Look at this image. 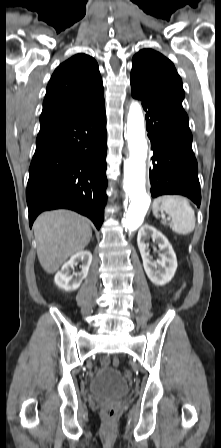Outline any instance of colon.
<instances>
[{"instance_id":"5ec220e1","label":"colon","mask_w":221,"mask_h":448,"mask_svg":"<svg viewBox=\"0 0 221 448\" xmlns=\"http://www.w3.org/2000/svg\"><path fill=\"white\" fill-rule=\"evenodd\" d=\"M182 290H183V286L176 290L175 295H174L176 299L180 297ZM101 363L103 366H108V365L112 364L113 366L118 367L120 362L118 359H114V360L110 361L108 358H105L102 360ZM124 376L126 378H130L131 372L129 370H125ZM102 414H103L104 419L111 421L117 417V410L113 406H106L103 408Z\"/></svg>"}]
</instances>
